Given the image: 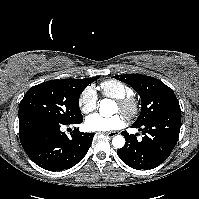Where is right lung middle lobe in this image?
<instances>
[{"instance_id":"obj_1","label":"right lung middle lobe","mask_w":199,"mask_h":199,"mask_svg":"<svg viewBox=\"0 0 199 199\" xmlns=\"http://www.w3.org/2000/svg\"><path fill=\"white\" fill-rule=\"evenodd\" d=\"M88 85L79 79H63L33 86L20 102L19 118L38 116L64 123L76 121L83 117L79 97Z\"/></svg>"}]
</instances>
